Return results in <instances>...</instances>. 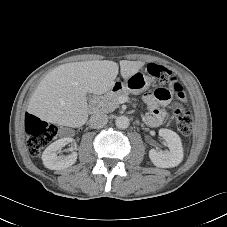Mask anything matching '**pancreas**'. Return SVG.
I'll return each mask as SVG.
<instances>
[{"instance_id": "obj_1", "label": "pancreas", "mask_w": 227, "mask_h": 227, "mask_svg": "<svg viewBox=\"0 0 227 227\" xmlns=\"http://www.w3.org/2000/svg\"><path fill=\"white\" fill-rule=\"evenodd\" d=\"M129 92L126 90H119L117 92H108L100 98L97 103V109L100 112L109 113L119 107V99L122 96L127 97Z\"/></svg>"}]
</instances>
